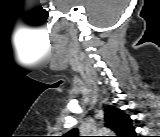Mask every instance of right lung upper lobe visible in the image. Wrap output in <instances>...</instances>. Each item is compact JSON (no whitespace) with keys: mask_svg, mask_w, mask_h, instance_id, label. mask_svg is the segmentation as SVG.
Segmentation results:
<instances>
[{"mask_svg":"<svg viewBox=\"0 0 160 137\" xmlns=\"http://www.w3.org/2000/svg\"><path fill=\"white\" fill-rule=\"evenodd\" d=\"M105 122L106 127L112 129L118 137H131L135 134L130 117L113 106L105 108Z\"/></svg>","mask_w":160,"mask_h":137,"instance_id":"right-lung-upper-lobe-1","label":"right lung upper lobe"}]
</instances>
